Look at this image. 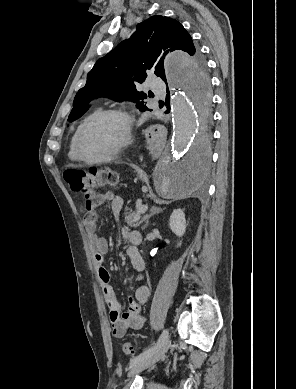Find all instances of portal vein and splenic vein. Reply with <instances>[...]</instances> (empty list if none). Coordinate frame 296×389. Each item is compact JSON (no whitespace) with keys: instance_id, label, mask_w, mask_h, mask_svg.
I'll return each mask as SVG.
<instances>
[{"instance_id":"portal-vein-and-splenic-vein-1","label":"portal vein and splenic vein","mask_w":296,"mask_h":389,"mask_svg":"<svg viewBox=\"0 0 296 389\" xmlns=\"http://www.w3.org/2000/svg\"><path fill=\"white\" fill-rule=\"evenodd\" d=\"M147 209H148L147 205H142V206H140V207L138 208V212H139L140 214H143V213H145V212L147 211Z\"/></svg>"}]
</instances>
